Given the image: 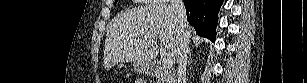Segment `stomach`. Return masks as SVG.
Instances as JSON below:
<instances>
[{
  "label": "stomach",
  "mask_w": 307,
  "mask_h": 83,
  "mask_svg": "<svg viewBox=\"0 0 307 83\" xmlns=\"http://www.w3.org/2000/svg\"><path fill=\"white\" fill-rule=\"evenodd\" d=\"M138 69L141 70V71L145 70V69L143 68V66H141V65L138 66Z\"/></svg>",
  "instance_id": "1"
}]
</instances>
